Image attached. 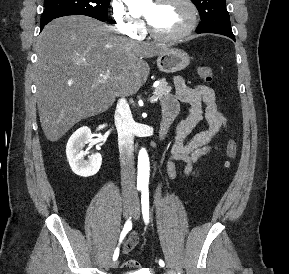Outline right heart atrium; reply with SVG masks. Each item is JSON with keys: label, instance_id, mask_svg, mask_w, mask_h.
<instances>
[{"label": "right heart atrium", "instance_id": "obj_1", "mask_svg": "<svg viewBox=\"0 0 289 274\" xmlns=\"http://www.w3.org/2000/svg\"><path fill=\"white\" fill-rule=\"evenodd\" d=\"M111 14L116 29L131 38H139L144 31L142 20L133 17L126 9L122 0L111 1Z\"/></svg>", "mask_w": 289, "mask_h": 274}]
</instances>
